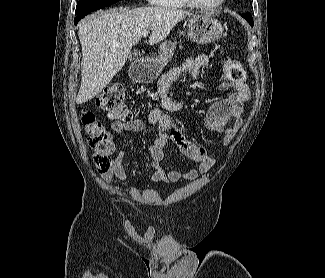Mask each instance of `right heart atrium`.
Returning <instances> with one entry per match:
<instances>
[{
    "label": "right heart atrium",
    "mask_w": 325,
    "mask_h": 278,
    "mask_svg": "<svg viewBox=\"0 0 325 278\" xmlns=\"http://www.w3.org/2000/svg\"><path fill=\"white\" fill-rule=\"evenodd\" d=\"M146 1H149L150 3H152V2H153V0H146Z\"/></svg>",
    "instance_id": "obj_1"
}]
</instances>
